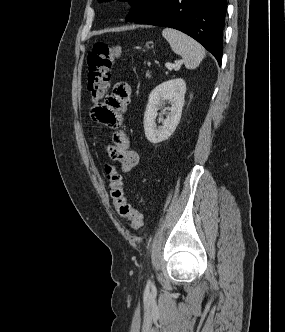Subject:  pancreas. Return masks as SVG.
<instances>
[{
  "instance_id": "cf45deb5",
  "label": "pancreas",
  "mask_w": 285,
  "mask_h": 332,
  "mask_svg": "<svg viewBox=\"0 0 285 332\" xmlns=\"http://www.w3.org/2000/svg\"><path fill=\"white\" fill-rule=\"evenodd\" d=\"M146 77L150 78V74H149V72L146 73Z\"/></svg>"
}]
</instances>
